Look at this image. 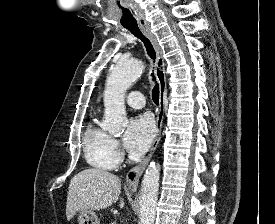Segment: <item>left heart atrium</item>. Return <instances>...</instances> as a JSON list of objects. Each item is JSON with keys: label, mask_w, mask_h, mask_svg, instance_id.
Returning a JSON list of instances; mask_svg holds the SVG:
<instances>
[{"label": "left heart atrium", "mask_w": 275, "mask_h": 224, "mask_svg": "<svg viewBox=\"0 0 275 224\" xmlns=\"http://www.w3.org/2000/svg\"><path fill=\"white\" fill-rule=\"evenodd\" d=\"M155 133V125L150 116L134 117L129 121L124 134V146L133 154H142L149 148Z\"/></svg>", "instance_id": "obj_1"}]
</instances>
